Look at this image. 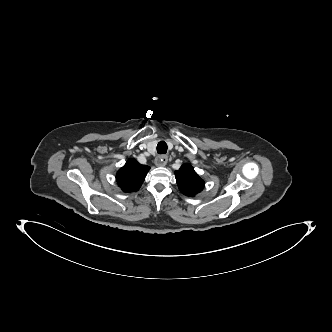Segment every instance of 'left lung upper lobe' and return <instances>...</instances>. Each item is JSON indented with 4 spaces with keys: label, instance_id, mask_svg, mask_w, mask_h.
Wrapping results in <instances>:
<instances>
[{
    "label": "left lung upper lobe",
    "instance_id": "left-lung-upper-lobe-1",
    "mask_svg": "<svg viewBox=\"0 0 332 332\" xmlns=\"http://www.w3.org/2000/svg\"><path fill=\"white\" fill-rule=\"evenodd\" d=\"M175 177L179 190L186 196L193 197L204 188V181L188 163L175 172Z\"/></svg>",
    "mask_w": 332,
    "mask_h": 332
}]
</instances>
